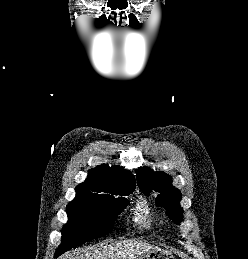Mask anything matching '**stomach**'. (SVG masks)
Segmentation results:
<instances>
[{
  "label": "stomach",
  "mask_w": 248,
  "mask_h": 259,
  "mask_svg": "<svg viewBox=\"0 0 248 259\" xmlns=\"http://www.w3.org/2000/svg\"><path fill=\"white\" fill-rule=\"evenodd\" d=\"M135 259H175V257L165 250H161L159 248H150L142 252Z\"/></svg>",
  "instance_id": "1"
}]
</instances>
